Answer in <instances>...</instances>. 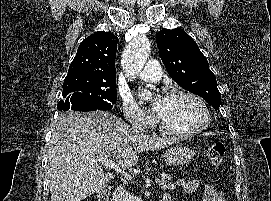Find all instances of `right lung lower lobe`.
I'll list each match as a JSON object with an SVG mask.
<instances>
[{"label":"right lung lower lobe","instance_id":"obj_1","mask_svg":"<svg viewBox=\"0 0 271 201\" xmlns=\"http://www.w3.org/2000/svg\"><path fill=\"white\" fill-rule=\"evenodd\" d=\"M113 104L106 102H85L82 99L65 98L57 104V109L60 111L75 110V111H95V110H110Z\"/></svg>","mask_w":271,"mask_h":201}]
</instances>
